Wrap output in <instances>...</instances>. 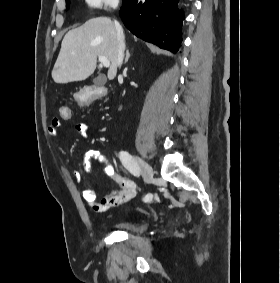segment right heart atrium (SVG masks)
Segmentation results:
<instances>
[{
    "mask_svg": "<svg viewBox=\"0 0 280 283\" xmlns=\"http://www.w3.org/2000/svg\"><path fill=\"white\" fill-rule=\"evenodd\" d=\"M85 4L90 9H108L115 8L119 0H84Z\"/></svg>",
    "mask_w": 280,
    "mask_h": 283,
    "instance_id": "d8ad5b80",
    "label": "right heart atrium"
}]
</instances>
